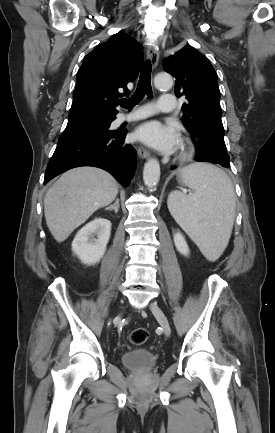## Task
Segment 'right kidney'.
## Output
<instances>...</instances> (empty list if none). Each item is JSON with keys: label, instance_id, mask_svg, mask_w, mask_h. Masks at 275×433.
Returning <instances> with one entry per match:
<instances>
[{"label": "right kidney", "instance_id": "obj_1", "mask_svg": "<svg viewBox=\"0 0 275 433\" xmlns=\"http://www.w3.org/2000/svg\"><path fill=\"white\" fill-rule=\"evenodd\" d=\"M110 234L111 222L105 218H95L77 232L72 242V251L82 263L96 264L106 252Z\"/></svg>", "mask_w": 275, "mask_h": 433}]
</instances>
